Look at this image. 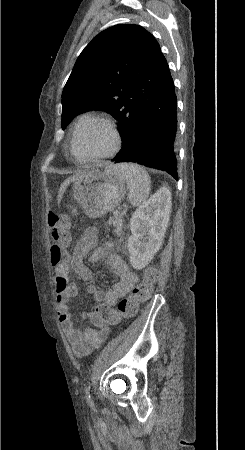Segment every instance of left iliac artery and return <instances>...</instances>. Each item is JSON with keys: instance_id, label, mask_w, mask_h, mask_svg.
<instances>
[{"instance_id": "44dca946", "label": "left iliac artery", "mask_w": 245, "mask_h": 450, "mask_svg": "<svg viewBox=\"0 0 245 450\" xmlns=\"http://www.w3.org/2000/svg\"><path fill=\"white\" fill-rule=\"evenodd\" d=\"M86 394H87V401L91 404L93 402L91 395H90V385L87 386L86 388Z\"/></svg>"}]
</instances>
